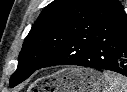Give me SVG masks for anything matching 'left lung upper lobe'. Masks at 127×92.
I'll use <instances>...</instances> for the list:
<instances>
[{
	"label": "left lung upper lobe",
	"mask_w": 127,
	"mask_h": 92,
	"mask_svg": "<svg viewBox=\"0 0 127 92\" xmlns=\"http://www.w3.org/2000/svg\"><path fill=\"white\" fill-rule=\"evenodd\" d=\"M121 6L118 0H54L44 8L25 38L10 87L40 69L76 34Z\"/></svg>",
	"instance_id": "5c2ea615"
}]
</instances>
